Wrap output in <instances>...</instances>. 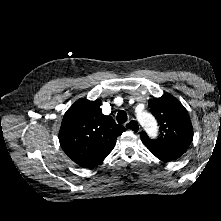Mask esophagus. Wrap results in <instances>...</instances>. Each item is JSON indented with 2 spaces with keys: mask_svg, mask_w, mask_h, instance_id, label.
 <instances>
[{
  "mask_svg": "<svg viewBox=\"0 0 221 221\" xmlns=\"http://www.w3.org/2000/svg\"><path fill=\"white\" fill-rule=\"evenodd\" d=\"M125 128L134 132L138 133L140 131V126L135 120H130L125 124Z\"/></svg>",
  "mask_w": 221,
  "mask_h": 221,
  "instance_id": "esophagus-1",
  "label": "esophagus"
}]
</instances>
